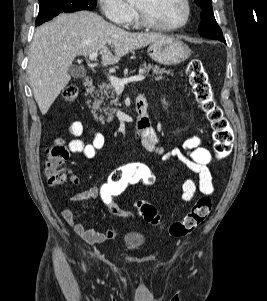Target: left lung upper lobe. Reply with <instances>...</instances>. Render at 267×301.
I'll return each instance as SVG.
<instances>
[{"label":"left lung upper lobe","mask_w":267,"mask_h":301,"mask_svg":"<svg viewBox=\"0 0 267 301\" xmlns=\"http://www.w3.org/2000/svg\"><path fill=\"white\" fill-rule=\"evenodd\" d=\"M195 3L202 9L201 23L198 28L200 35L214 40H224L222 30L214 17L211 0H195Z\"/></svg>","instance_id":"obj_1"}]
</instances>
